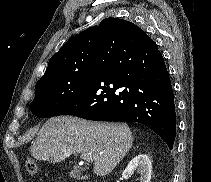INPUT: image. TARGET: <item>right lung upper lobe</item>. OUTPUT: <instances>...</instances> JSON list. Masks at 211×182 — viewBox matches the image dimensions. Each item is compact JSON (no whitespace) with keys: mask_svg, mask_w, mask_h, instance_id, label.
<instances>
[{"mask_svg":"<svg viewBox=\"0 0 211 182\" xmlns=\"http://www.w3.org/2000/svg\"><path fill=\"white\" fill-rule=\"evenodd\" d=\"M119 27H121V30L124 29L131 41L141 43L150 39L142 29L129 21L118 18H106L98 26L90 27L70 38L50 58L45 74L39 81L94 64L100 36L106 32L114 33Z\"/></svg>","mask_w":211,"mask_h":182,"instance_id":"1","label":"right lung upper lobe"}]
</instances>
